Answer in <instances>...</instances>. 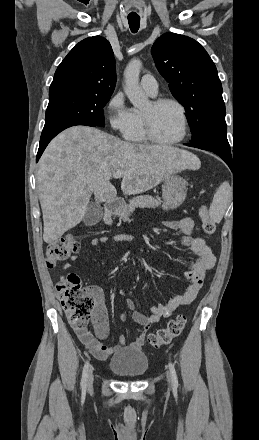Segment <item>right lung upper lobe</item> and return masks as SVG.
<instances>
[{
	"label": "right lung upper lobe",
	"mask_w": 259,
	"mask_h": 440,
	"mask_svg": "<svg viewBox=\"0 0 259 440\" xmlns=\"http://www.w3.org/2000/svg\"><path fill=\"white\" fill-rule=\"evenodd\" d=\"M115 58L110 43L101 36L79 42L58 66L49 95L65 91L113 93Z\"/></svg>",
	"instance_id": "right-lung-upper-lobe-1"
}]
</instances>
